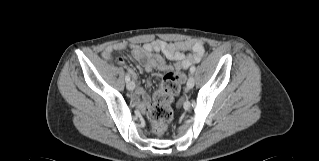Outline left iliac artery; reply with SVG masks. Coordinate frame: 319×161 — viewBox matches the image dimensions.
Segmentation results:
<instances>
[{
    "label": "left iliac artery",
    "instance_id": "44dca946",
    "mask_svg": "<svg viewBox=\"0 0 319 161\" xmlns=\"http://www.w3.org/2000/svg\"><path fill=\"white\" fill-rule=\"evenodd\" d=\"M195 70H196V67H195V66H192V67L190 68V73H191V74L194 73Z\"/></svg>",
    "mask_w": 319,
    "mask_h": 161
}]
</instances>
